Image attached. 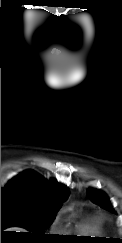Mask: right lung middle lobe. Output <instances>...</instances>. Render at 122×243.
Returning a JSON list of instances; mask_svg holds the SVG:
<instances>
[{"label":"right lung middle lobe","mask_w":122,"mask_h":243,"mask_svg":"<svg viewBox=\"0 0 122 243\" xmlns=\"http://www.w3.org/2000/svg\"><path fill=\"white\" fill-rule=\"evenodd\" d=\"M60 206L44 207L19 199H1V233L7 227L19 226L37 238H49L44 233L52 224Z\"/></svg>","instance_id":"1"}]
</instances>
